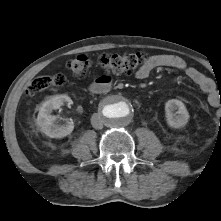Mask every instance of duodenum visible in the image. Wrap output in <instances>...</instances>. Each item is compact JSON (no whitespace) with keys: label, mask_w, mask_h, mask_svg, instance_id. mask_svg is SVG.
Wrapping results in <instances>:
<instances>
[{"label":"duodenum","mask_w":221,"mask_h":221,"mask_svg":"<svg viewBox=\"0 0 221 221\" xmlns=\"http://www.w3.org/2000/svg\"><path fill=\"white\" fill-rule=\"evenodd\" d=\"M109 90L110 84L106 80H97L89 87V91L93 94H102L108 92Z\"/></svg>","instance_id":"obj_1"}]
</instances>
